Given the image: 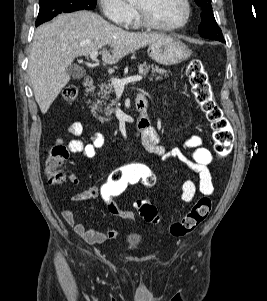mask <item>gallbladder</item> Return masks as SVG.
<instances>
[{
  "label": "gallbladder",
  "mask_w": 267,
  "mask_h": 301,
  "mask_svg": "<svg viewBox=\"0 0 267 301\" xmlns=\"http://www.w3.org/2000/svg\"><path fill=\"white\" fill-rule=\"evenodd\" d=\"M67 72L73 79H81L86 75L85 69L76 64L70 65L67 68Z\"/></svg>",
  "instance_id": "obj_1"
}]
</instances>
